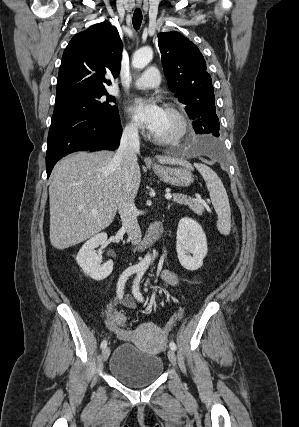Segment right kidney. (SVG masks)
I'll list each match as a JSON object with an SVG mask.
<instances>
[{
	"mask_svg": "<svg viewBox=\"0 0 299 427\" xmlns=\"http://www.w3.org/2000/svg\"><path fill=\"white\" fill-rule=\"evenodd\" d=\"M107 242V234L99 233L89 239L79 250L76 261L83 272L96 281L108 277L113 271V261L102 263V257L96 254L95 248Z\"/></svg>",
	"mask_w": 299,
	"mask_h": 427,
	"instance_id": "obj_1",
	"label": "right kidney"
}]
</instances>
